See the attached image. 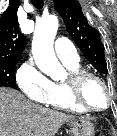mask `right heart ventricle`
Wrapping results in <instances>:
<instances>
[{
    "label": "right heart ventricle",
    "mask_w": 117,
    "mask_h": 136,
    "mask_svg": "<svg viewBox=\"0 0 117 136\" xmlns=\"http://www.w3.org/2000/svg\"><path fill=\"white\" fill-rule=\"evenodd\" d=\"M70 71L80 70L78 63H64ZM47 104L58 109L73 113H83L84 111L77 107L68 94L64 82H52V90L49 95Z\"/></svg>",
    "instance_id": "obj_1"
}]
</instances>
